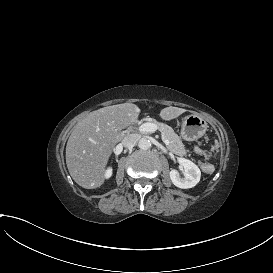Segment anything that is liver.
<instances>
[{"instance_id":"obj_1","label":"liver","mask_w":273,"mask_h":273,"mask_svg":"<svg viewBox=\"0 0 273 273\" xmlns=\"http://www.w3.org/2000/svg\"><path fill=\"white\" fill-rule=\"evenodd\" d=\"M187 110L169 106L160 110L162 121H172ZM134 103L106 106L90 112L77 123L66 145V165L72 179L84 189L100 188L107 178V165L126 128L140 117Z\"/></svg>"}]
</instances>
